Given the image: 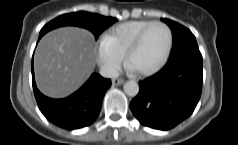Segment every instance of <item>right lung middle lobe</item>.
<instances>
[{"mask_svg": "<svg viewBox=\"0 0 238 145\" xmlns=\"http://www.w3.org/2000/svg\"><path fill=\"white\" fill-rule=\"evenodd\" d=\"M116 18L105 17L94 13L79 11L61 15L51 22L47 23L40 31L39 38H41L48 31L61 26H78L86 28L93 33L95 39L111 24L116 22Z\"/></svg>", "mask_w": 238, "mask_h": 145, "instance_id": "right-lung-middle-lobe-1", "label": "right lung middle lobe"}]
</instances>
